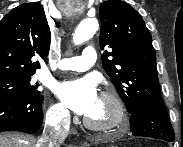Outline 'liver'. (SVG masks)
<instances>
[{
	"label": "liver",
	"instance_id": "obj_1",
	"mask_svg": "<svg viewBox=\"0 0 183 147\" xmlns=\"http://www.w3.org/2000/svg\"><path fill=\"white\" fill-rule=\"evenodd\" d=\"M36 139L19 133L0 134V147H36Z\"/></svg>",
	"mask_w": 183,
	"mask_h": 147
}]
</instances>
